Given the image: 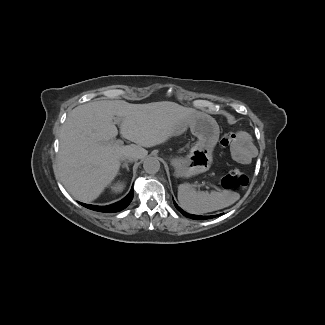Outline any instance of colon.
Listing matches in <instances>:
<instances>
[{
	"label": "colon",
	"instance_id": "1",
	"mask_svg": "<svg viewBox=\"0 0 325 325\" xmlns=\"http://www.w3.org/2000/svg\"><path fill=\"white\" fill-rule=\"evenodd\" d=\"M234 135L231 133H225L221 137L220 143L223 146H228L233 140ZM248 184L247 176L242 173L239 169L230 170L221 180V185L224 189L234 190L241 187H244Z\"/></svg>",
	"mask_w": 325,
	"mask_h": 325
}]
</instances>
